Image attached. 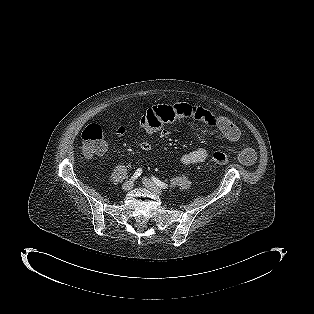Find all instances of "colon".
<instances>
[{
  "mask_svg": "<svg viewBox=\"0 0 314 314\" xmlns=\"http://www.w3.org/2000/svg\"><path fill=\"white\" fill-rule=\"evenodd\" d=\"M83 152L88 157L102 155L106 151L104 129L99 124L88 125L81 134ZM211 159L220 165L229 162L228 156L220 151L211 153Z\"/></svg>",
  "mask_w": 314,
  "mask_h": 314,
  "instance_id": "colon-1",
  "label": "colon"
}]
</instances>
